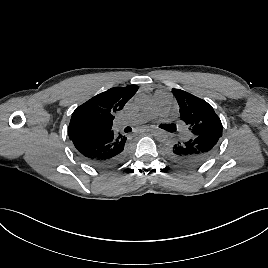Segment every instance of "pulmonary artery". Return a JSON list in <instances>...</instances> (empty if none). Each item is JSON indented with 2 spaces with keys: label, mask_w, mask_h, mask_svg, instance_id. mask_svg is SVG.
I'll return each instance as SVG.
<instances>
[{
  "label": "pulmonary artery",
  "mask_w": 268,
  "mask_h": 268,
  "mask_svg": "<svg viewBox=\"0 0 268 268\" xmlns=\"http://www.w3.org/2000/svg\"><path fill=\"white\" fill-rule=\"evenodd\" d=\"M171 96L163 91H157L152 99V104L145 110L138 113L134 119L123 118L120 124L144 123L156 116L163 115L168 111Z\"/></svg>",
  "instance_id": "e3ab8cb5"
}]
</instances>
